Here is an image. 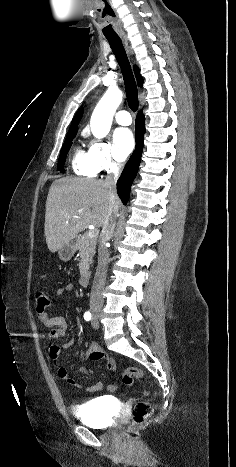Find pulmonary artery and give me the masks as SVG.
<instances>
[{
    "instance_id": "e3ab8cb5",
    "label": "pulmonary artery",
    "mask_w": 236,
    "mask_h": 467,
    "mask_svg": "<svg viewBox=\"0 0 236 467\" xmlns=\"http://www.w3.org/2000/svg\"><path fill=\"white\" fill-rule=\"evenodd\" d=\"M115 120L118 124L124 125V126L130 125L132 123L131 115L126 110L118 111L115 115Z\"/></svg>"
}]
</instances>
